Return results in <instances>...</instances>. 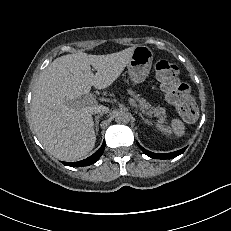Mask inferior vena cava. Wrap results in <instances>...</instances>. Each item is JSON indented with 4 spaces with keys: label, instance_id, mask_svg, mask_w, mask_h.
<instances>
[{
    "label": "inferior vena cava",
    "instance_id": "602c4592",
    "mask_svg": "<svg viewBox=\"0 0 231 231\" xmlns=\"http://www.w3.org/2000/svg\"><path fill=\"white\" fill-rule=\"evenodd\" d=\"M109 109L105 106H99L93 110V114H104L108 113Z\"/></svg>",
    "mask_w": 231,
    "mask_h": 231
}]
</instances>
